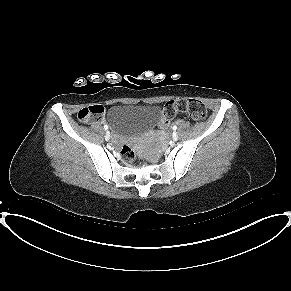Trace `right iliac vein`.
<instances>
[{
    "label": "right iliac vein",
    "mask_w": 291,
    "mask_h": 291,
    "mask_svg": "<svg viewBox=\"0 0 291 291\" xmlns=\"http://www.w3.org/2000/svg\"><path fill=\"white\" fill-rule=\"evenodd\" d=\"M105 139L108 141L110 139V133L109 132H106L105 134Z\"/></svg>",
    "instance_id": "63e3f726"
}]
</instances>
